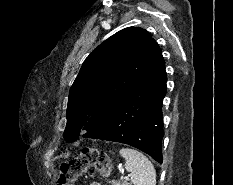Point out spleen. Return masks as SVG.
<instances>
[{"label": "spleen", "mask_w": 233, "mask_h": 185, "mask_svg": "<svg viewBox=\"0 0 233 185\" xmlns=\"http://www.w3.org/2000/svg\"><path fill=\"white\" fill-rule=\"evenodd\" d=\"M120 155L125 159V169L131 173L134 185H156V171L151 161L141 152L122 148Z\"/></svg>", "instance_id": "3e777b00"}]
</instances>
